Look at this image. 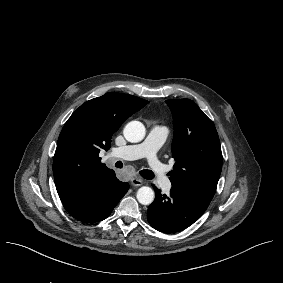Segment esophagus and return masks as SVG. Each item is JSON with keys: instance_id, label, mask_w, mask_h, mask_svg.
<instances>
[{"instance_id": "1", "label": "esophagus", "mask_w": 283, "mask_h": 283, "mask_svg": "<svg viewBox=\"0 0 283 283\" xmlns=\"http://www.w3.org/2000/svg\"><path fill=\"white\" fill-rule=\"evenodd\" d=\"M143 183L144 182L141 179H138V178H132L131 179V184L133 186H141V185H143Z\"/></svg>"}]
</instances>
